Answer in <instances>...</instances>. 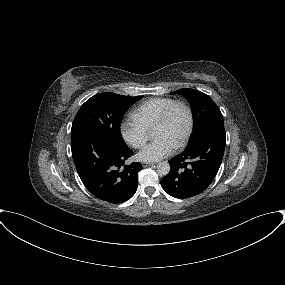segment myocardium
I'll return each mask as SVG.
<instances>
[{"mask_svg": "<svg viewBox=\"0 0 285 285\" xmlns=\"http://www.w3.org/2000/svg\"><path fill=\"white\" fill-rule=\"evenodd\" d=\"M178 107H182L186 110L187 115H188V126H187V130H186V133L183 139L175 146V149H180L184 147L189 141L191 134L193 132L194 116H193V111L191 107L183 101H175L162 113V115L159 117V119L154 125V128H155L157 126L166 124L168 120L170 119L171 115L173 114L174 110Z\"/></svg>", "mask_w": 285, "mask_h": 285, "instance_id": "myocardium-1", "label": "myocardium"}]
</instances>
